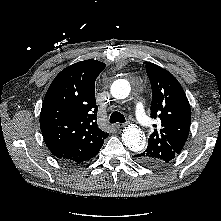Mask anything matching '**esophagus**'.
<instances>
[{
  "label": "esophagus",
  "instance_id": "obj_1",
  "mask_svg": "<svg viewBox=\"0 0 221 221\" xmlns=\"http://www.w3.org/2000/svg\"><path fill=\"white\" fill-rule=\"evenodd\" d=\"M124 126H125L124 123H116V124H115V127L118 128V129H119V128H122V127H124Z\"/></svg>",
  "mask_w": 221,
  "mask_h": 221
}]
</instances>
